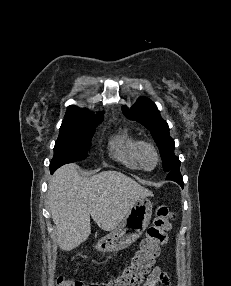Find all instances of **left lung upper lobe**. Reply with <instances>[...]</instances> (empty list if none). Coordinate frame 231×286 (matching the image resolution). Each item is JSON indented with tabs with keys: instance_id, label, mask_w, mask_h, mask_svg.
I'll return each mask as SVG.
<instances>
[{
	"instance_id": "1",
	"label": "left lung upper lobe",
	"mask_w": 231,
	"mask_h": 286,
	"mask_svg": "<svg viewBox=\"0 0 231 286\" xmlns=\"http://www.w3.org/2000/svg\"><path fill=\"white\" fill-rule=\"evenodd\" d=\"M123 113L129 119L139 121L150 130L161 153L165 172L169 173L180 167V161L174 155V140L169 135L168 124L161 118L157 106L150 99L139 98L131 109L124 106Z\"/></svg>"
}]
</instances>
